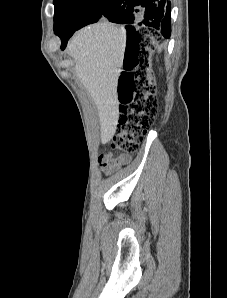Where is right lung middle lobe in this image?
<instances>
[{
    "mask_svg": "<svg viewBox=\"0 0 227 298\" xmlns=\"http://www.w3.org/2000/svg\"><path fill=\"white\" fill-rule=\"evenodd\" d=\"M104 0H54V31L60 35L77 29Z\"/></svg>",
    "mask_w": 227,
    "mask_h": 298,
    "instance_id": "dd1d6c3e",
    "label": "right lung middle lobe"
}]
</instances>
